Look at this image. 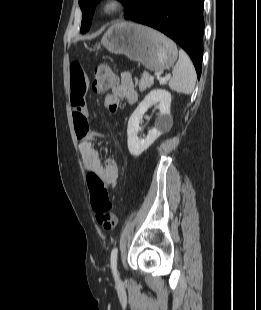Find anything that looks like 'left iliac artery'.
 Wrapping results in <instances>:
<instances>
[{"instance_id": "44dca946", "label": "left iliac artery", "mask_w": 261, "mask_h": 310, "mask_svg": "<svg viewBox=\"0 0 261 310\" xmlns=\"http://www.w3.org/2000/svg\"><path fill=\"white\" fill-rule=\"evenodd\" d=\"M117 254H118V248L115 247L111 251V268L115 277H117Z\"/></svg>"}]
</instances>
